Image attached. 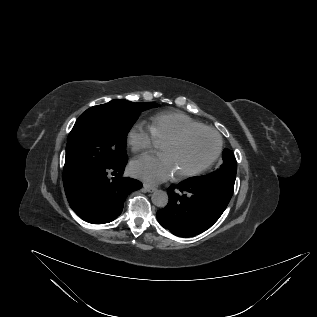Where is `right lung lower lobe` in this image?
<instances>
[{
	"label": "right lung lower lobe",
	"instance_id": "1",
	"mask_svg": "<svg viewBox=\"0 0 317 317\" xmlns=\"http://www.w3.org/2000/svg\"><path fill=\"white\" fill-rule=\"evenodd\" d=\"M127 160L63 180L68 202L81 219L104 224L121 214L127 195L142 187L135 179L121 178Z\"/></svg>",
	"mask_w": 317,
	"mask_h": 317
}]
</instances>
